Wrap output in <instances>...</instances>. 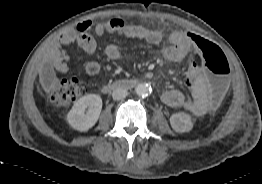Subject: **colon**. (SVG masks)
Returning <instances> with one entry per match:
<instances>
[{
  "instance_id": "colon-1",
  "label": "colon",
  "mask_w": 262,
  "mask_h": 184,
  "mask_svg": "<svg viewBox=\"0 0 262 184\" xmlns=\"http://www.w3.org/2000/svg\"><path fill=\"white\" fill-rule=\"evenodd\" d=\"M109 26L114 31H122L128 26L121 19H112ZM200 64L208 72L207 90L209 104L217 110L223 103L229 83L230 66L223 51L204 38H196ZM85 91L81 79L76 77L56 81L50 90V101L57 107L67 106L76 101Z\"/></svg>"
}]
</instances>
